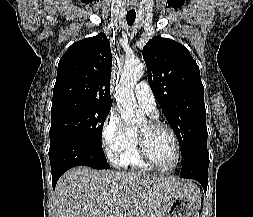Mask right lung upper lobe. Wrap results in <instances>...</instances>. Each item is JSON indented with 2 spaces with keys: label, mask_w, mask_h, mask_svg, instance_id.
Returning <instances> with one entry per match:
<instances>
[{
  "label": "right lung upper lobe",
  "mask_w": 253,
  "mask_h": 217,
  "mask_svg": "<svg viewBox=\"0 0 253 217\" xmlns=\"http://www.w3.org/2000/svg\"><path fill=\"white\" fill-rule=\"evenodd\" d=\"M110 42L104 33L72 44L58 64L53 104L84 101L111 105Z\"/></svg>",
  "instance_id": "cb5924a9"
}]
</instances>
